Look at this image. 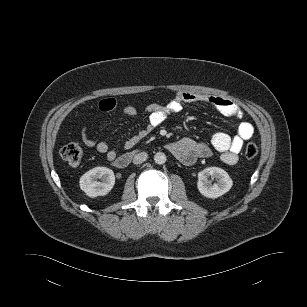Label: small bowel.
Here are the masks:
<instances>
[{"instance_id":"1","label":"small bowel","mask_w":307,"mask_h":307,"mask_svg":"<svg viewBox=\"0 0 307 307\" xmlns=\"http://www.w3.org/2000/svg\"><path fill=\"white\" fill-rule=\"evenodd\" d=\"M186 104H204L215 108L224 116L234 117L239 121L237 134L230 136L225 132H216L210 138V143L196 141L189 137H184L167 145L175 157L182 163L191 165L199 158L209 157L213 149L221 153V159L228 165H234L238 161V155L245 141L249 140L254 134L253 125L244 121V114L240 107L233 101L211 95L197 94L192 92H180L166 104L151 103L145 107L147 114V124L138 133L130 137L124 147L130 149L134 147L143 138L148 136L155 128L159 127L169 115L180 112ZM117 107L115 99H105L99 103V108L103 112L114 111ZM124 115L135 118L139 115V111L132 105L123 107ZM81 140L83 144L89 148H95L97 152L104 154L108 161L114 163L116 161L117 152L110 149L109 145L104 141H96L92 138L86 127L81 129Z\"/></svg>"}]
</instances>
